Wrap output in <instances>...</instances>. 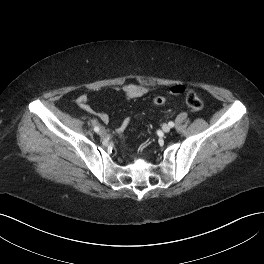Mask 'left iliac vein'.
Segmentation results:
<instances>
[{"label": "left iliac vein", "instance_id": "obj_1", "mask_svg": "<svg viewBox=\"0 0 264 264\" xmlns=\"http://www.w3.org/2000/svg\"><path fill=\"white\" fill-rule=\"evenodd\" d=\"M171 127L168 125V124H163L162 125V130L165 132V133H168L170 131Z\"/></svg>", "mask_w": 264, "mask_h": 264}]
</instances>
